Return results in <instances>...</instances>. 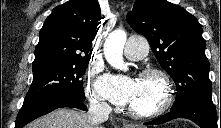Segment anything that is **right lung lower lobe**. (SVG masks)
<instances>
[{
	"instance_id": "1",
	"label": "right lung lower lobe",
	"mask_w": 221,
	"mask_h": 128,
	"mask_svg": "<svg viewBox=\"0 0 221 128\" xmlns=\"http://www.w3.org/2000/svg\"><path fill=\"white\" fill-rule=\"evenodd\" d=\"M83 101V99L76 98L69 94H53L23 103L17 116L15 128H22L27 123L57 108L73 107L87 111V107Z\"/></svg>"
}]
</instances>
